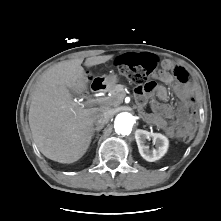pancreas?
<instances>
[{
  "label": "pancreas",
  "mask_w": 221,
  "mask_h": 221,
  "mask_svg": "<svg viewBox=\"0 0 221 221\" xmlns=\"http://www.w3.org/2000/svg\"><path fill=\"white\" fill-rule=\"evenodd\" d=\"M111 96L106 97L105 101L108 106H118L126 96L125 86L118 84L110 90Z\"/></svg>",
  "instance_id": "cf45deb5"
}]
</instances>
